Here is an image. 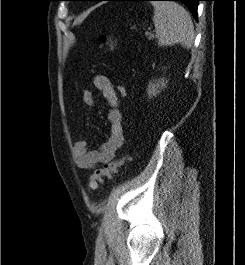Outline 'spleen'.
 Listing matches in <instances>:
<instances>
[{"label":"spleen","mask_w":245,"mask_h":265,"mask_svg":"<svg viewBox=\"0 0 245 265\" xmlns=\"http://www.w3.org/2000/svg\"><path fill=\"white\" fill-rule=\"evenodd\" d=\"M153 22L159 46L182 44L190 48L194 41V25L189 13L176 2L153 1Z\"/></svg>","instance_id":"1"}]
</instances>
